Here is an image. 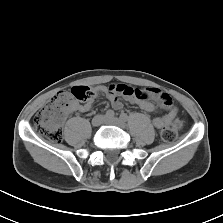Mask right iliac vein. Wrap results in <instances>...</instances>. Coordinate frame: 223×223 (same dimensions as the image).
I'll list each match as a JSON object with an SVG mask.
<instances>
[{
    "label": "right iliac vein",
    "instance_id": "obj_1",
    "mask_svg": "<svg viewBox=\"0 0 223 223\" xmlns=\"http://www.w3.org/2000/svg\"><path fill=\"white\" fill-rule=\"evenodd\" d=\"M104 120H105V116L98 114L92 119L91 123L94 127H98L101 124H103Z\"/></svg>",
    "mask_w": 223,
    "mask_h": 223
}]
</instances>
